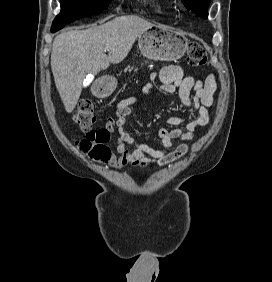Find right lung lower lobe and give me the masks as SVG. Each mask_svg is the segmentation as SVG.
Here are the masks:
<instances>
[{"label": "right lung lower lobe", "mask_w": 272, "mask_h": 282, "mask_svg": "<svg viewBox=\"0 0 272 282\" xmlns=\"http://www.w3.org/2000/svg\"><path fill=\"white\" fill-rule=\"evenodd\" d=\"M65 25H66V24H62V25H59V26H54V27L51 28V32L54 33V32H56V31L62 29Z\"/></svg>", "instance_id": "98d812e1"}]
</instances>
